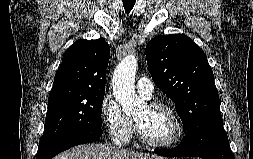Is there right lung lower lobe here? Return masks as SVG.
<instances>
[{"label":"right lung lower lobe","mask_w":253,"mask_h":159,"mask_svg":"<svg viewBox=\"0 0 253 159\" xmlns=\"http://www.w3.org/2000/svg\"><path fill=\"white\" fill-rule=\"evenodd\" d=\"M102 135V130H80L70 133L62 138L52 142L47 147L39 150L36 159H52L58 153L67 150L73 146L91 143L98 140Z\"/></svg>","instance_id":"obj_1"}]
</instances>
